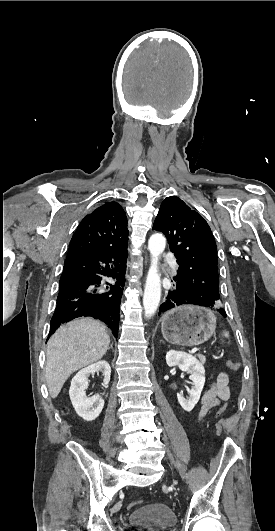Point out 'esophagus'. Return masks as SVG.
<instances>
[{"label":"esophagus","instance_id":"1","mask_svg":"<svg viewBox=\"0 0 275 531\" xmlns=\"http://www.w3.org/2000/svg\"><path fill=\"white\" fill-rule=\"evenodd\" d=\"M145 263H147V257L145 258Z\"/></svg>","mask_w":275,"mask_h":531}]
</instances>
